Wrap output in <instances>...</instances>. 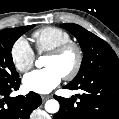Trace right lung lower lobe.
<instances>
[{"mask_svg":"<svg viewBox=\"0 0 119 119\" xmlns=\"http://www.w3.org/2000/svg\"><path fill=\"white\" fill-rule=\"evenodd\" d=\"M20 78L0 80V119H29L31 112L41 103L40 95L30 92L26 96L10 97L20 87Z\"/></svg>","mask_w":119,"mask_h":119,"instance_id":"98d812e1","label":"right lung lower lobe"}]
</instances>
